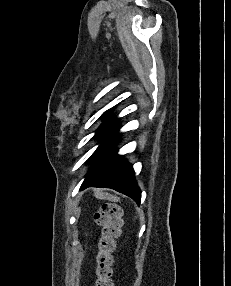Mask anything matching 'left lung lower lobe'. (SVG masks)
<instances>
[{
	"mask_svg": "<svg viewBox=\"0 0 231 286\" xmlns=\"http://www.w3.org/2000/svg\"><path fill=\"white\" fill-rule=\"evenodd\" d=\"M117 126V119H113L111 115L98 129L96 136L102 139V144L89 159L93 162V166L86 175L81 188L90 186L111 188L140 204L141 191L134 179L132 166L113 152Z\"/></svg>",
	"mask_w": 231,
	"mask_h": 286,
	"instance_id": "1",
	"label": "left lung lower lobe"
}]
</instances>
